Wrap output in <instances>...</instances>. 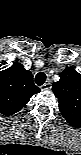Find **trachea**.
<instances>
[{
  "instance_id": "trachea-1",
  "label": "trachea",
  "mask_w": 81,
  "mask_h": 155,
  "mask_svg": "<svg viewBox=\"0 0 81 155\" xmlns=\"http://www.w3.org/2000/svg\"><path fill=\"white\" fill-rule=\"evenodd\" d=\"M46 75L43 72H39L36 77H35V82L37 85L41 86L45 83L46 81Z\"/></svg>"
}]
</instances>
